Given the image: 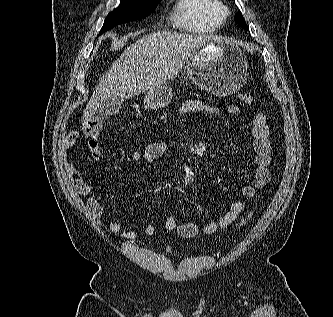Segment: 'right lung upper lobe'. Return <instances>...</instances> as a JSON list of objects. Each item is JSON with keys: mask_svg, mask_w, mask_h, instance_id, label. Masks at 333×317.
<instances>
[{"mask_svg": "<svg viewBox=\"0 0 333 317\" xmlns=\"http://www.w3.org/2000/svg\"><path fill=\"white\" fill-rule=\"evenodd\" d=\"M146 1H160V0H146Z\"/></svg>", "mask_w": 333, "mask_h": 317, "instance_id": "cb5924a9", "label": "right lung upper lobe"}]
</instances>
